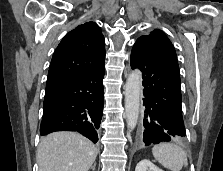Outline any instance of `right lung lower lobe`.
<instances>
[{
	"label": "right lung lower lobe",
	"instance_id": "1",
	"mask_svg": "<svg viewBox=\"0 0 223 171\" xmlns=\"http://www.w3.org/2000/svg\"><path fill=\"white\" fill-rule=\"evenodd\" d=\"M103 77L104 65L81 78L46 87L40 134L77 131L96 143L104 104Z\"/></svg>",
	"mask_w": 223,
	"mask_h": 171
}]
</instances>
